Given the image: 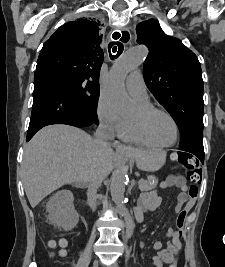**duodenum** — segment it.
<instances>
[{"instance_id":"obj_1","label":"duodenum","mask_w":225,"mask_h":267,"mask_svg":"<svg viewBox=\"0 0 225 267\" xmlns=\"http://www.w3.org/2000/svg\"><path fill=\"white\" fill-rule=\"evenodd\" d=\"M136 219L138 222H141L142 220V215L140 213H137V209H136Z\"/></svg>"}]
</instances>
